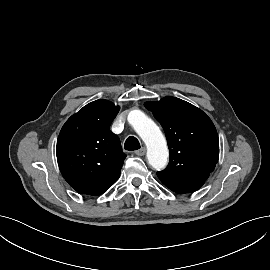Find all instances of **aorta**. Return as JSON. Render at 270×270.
Listing matches in <instances>:
<instances>
[{
    "label": "aorta",
    "instance_id": "762f6f07",
    "mask_svg": "<svg viewBox=\"0 0 270 270\" xmlns=\"http://www.w3.org/2000/svg\"><path fill=\"white\" fill-rule=\"evenodd\" d=\"M128 120L147 146V159L156 170L165 168L169 151L165 137L155 122L140 110L129 113Z\"/></svg>",
    "mask_w": 270,
    "mask_h": 270
}]
</instances>
